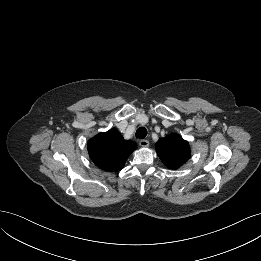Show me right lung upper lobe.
<instances>
[{"mask_svg":"<svg viewBox=\"0 0 261 261\" xmlns=\"http://www.w3.org/2000/svg\"><path fill=\"white\" fill-rule=\"evenodd\" d=\"M88 153L99 168L115 172L123 169L130 154L136 149V143L124 140L116 130L99 133L88 141Z\"/></svg>","mask_w":261,"mask_h":261,"instance_id":"cb5924a9","label":"right lung upper lobe"}]
</instances>
